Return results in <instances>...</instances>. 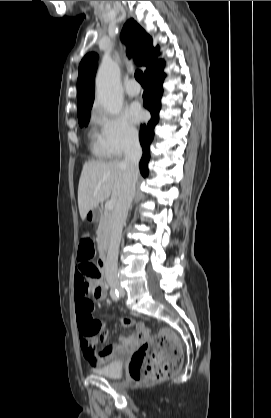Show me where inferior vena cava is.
Masks as SVG:
<instances>
[{"label":"inferior vena cava","mask_w":271,"mask_h":418,"mask_svg":"<svg viewBox=\"0 0 271 418\" xmlns=\"http://www.w3.org/2000/svg\"><path fill=\"white\" fill-rule=\"evenodd\" d=\"M142 156V149L137 136L131 138L124 157L126 168L124 186L117 200L111 219V237L108 246L105 263V276L109 284L118 283L117 263L118 251L123 225L125 224L128 210L135 194V186L138 179V164Z\"/></svg>","instance_id":"inferior-vena-cava-1"}]
</instances>
